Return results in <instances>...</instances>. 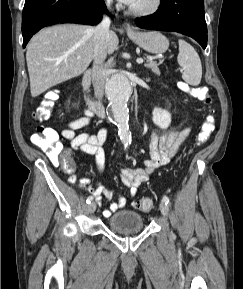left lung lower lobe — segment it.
I'll list each match as a JSON object with an SVG mask.
<instances>
[{
  "label": "left lung lower lobe",
  "mask_w": 243,
  "mask_h": 289,
  "mask_svg": "<svg viewBox=\"0 0 243 289\" xmlns=\"http://www.w3.org/2000/svg\"><path fill=\"white\" fill-rule=\"evenodd\" d=\"M135 22L144 29L182 33L194 38L203 49L207 46L204 0H161L154 14Z\"/></svg>",
  "instance_id": "obj_1"
}]
</instances>
